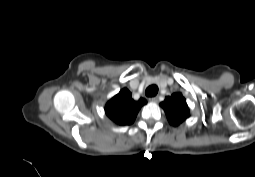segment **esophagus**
<instances>
[{
	"mask_svg": "<svg viewBox=\"0 0 255 177\" xmlns=\"http://www.w3.org/2000/svg\"><path fill=\"white\" fill-rule=\"evenodd\" d=\"M151 102H158V97H152L149 99Z\"/></svg>",
	"mask_w": 255,
	"mask_h": 177,
	"instance_id": "obj_1",
	"label": "esophagus"
}]
</instances>
